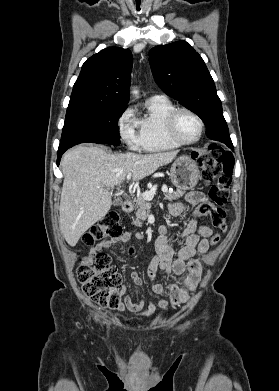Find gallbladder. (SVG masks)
<instances>
[{"label": "gallbladder", "instance_id": "1", "mask_svg": "<svg viewBox=\"0 0 279 391\" xmlns=\"http://www.w3.org/2000/svg\"><path fill=\"white\" fill-rule=\"evenodd\" d=\"M113 204H114L115 206H119V205L122 204V201H121L120 199H115L114 202H113Z\"/></svg>", "mask_w": 279, "mask_h": 391}]
</instances>
